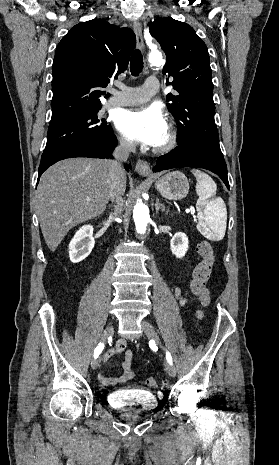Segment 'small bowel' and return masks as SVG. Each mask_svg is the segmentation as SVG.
Wrapping results in <instances>:
<instances>
[{"instance_id": "c3829d8e", "label": "small bowel", "mask_w": 279, "mask_h": 465, "mask_svg": "<svg viewBox=\"0 0 279 465\" xmlns=\"http://www.w3.org/2000/svg\"><path fill=\"white\" fill-rule=\"evenodd\" d=\"M176 295L179 299V302L181 305H184L186 302V298L180 294V292L177 290ZM124 353V358L122 360V368L124 369V372L121 376L119 377H109L105 375L104 373L99 374V380L102 384L107 385V386H114L117 384H122L129 382L134 378V371L132 370V361L134 357V353L131 349L127 347V342L123 339H119L115 346L108 350L104 354V360L107 361L111 357H113L116 354Z\"/></svg>"}]
</instances>
